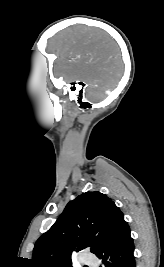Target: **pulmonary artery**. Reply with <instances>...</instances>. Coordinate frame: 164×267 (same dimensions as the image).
Wrapping results in <instances>:
<instances>
[{
  "mask_svg": "<svg viewBox=\"0 0 164 267\" xmlns=\"http://www.w3.org/2000/svg\"><path fill=\"white\" fill-rule=\"evenodd\" d=\"M82 263L87 265H94L96 263V259L94 257H84Z\"/></svg>",
  "mask_w": 164,
  "mask_h": 267,
  "instance_id": "pulmonary-artery-1",
  "label": "pulmonary artery"
}]
</instances>
